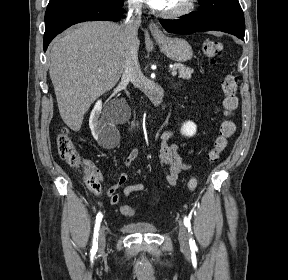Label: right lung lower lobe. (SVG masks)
<instances>
[{
  "label": "right lung lower lobe",
  "mask_w": 288,
  "mask_h": 280,
  "mask_svg": "<svg viewBox=\"0 0 288 280\" xmlns=\"http://www.w3.org/2000/svg\"><path fill=\"white\" fill-rule=\"evenodd\" d=\"M123 5L106 0H57L49 3L45 13L43 48L59 33L73 24L83 21H119L123 16Z\"/></svg>",
  "instance_id": "right-lung-lower-lobe-1"
}]
</instances>
